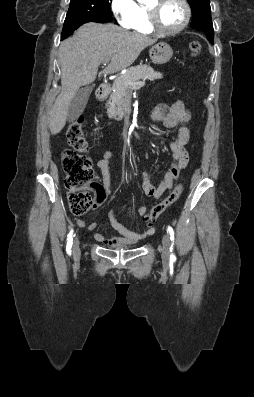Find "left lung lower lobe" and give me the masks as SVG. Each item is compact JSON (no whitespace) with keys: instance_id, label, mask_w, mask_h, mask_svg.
<instances>
[{"instance_id":"obj_1","label":"left lung lower lobe","mask_w":254,"mask_h":397,"mask_svg":"<svg viewBox=\"0 0 254 397\" xmlns=\"http://www.w3.org/2000/svg\"><path fill=\"white\" fill-rule=\"evenodd\" d=\"M207 39H208L209 41H211V43L213 44L214 36H213V37L207 36Z\"/></svg>"}]
</instances>
